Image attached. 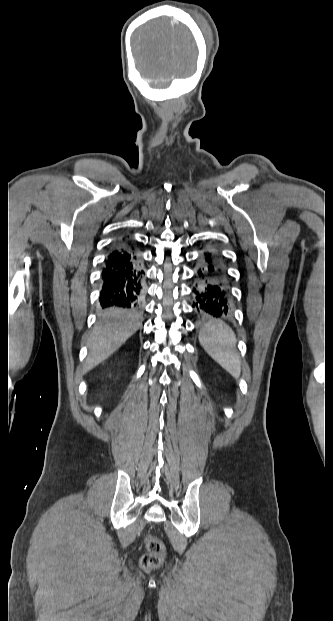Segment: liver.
<instances>
[{"label": "liver", "instance_id": "1", "mask_svg": "<svg viewBox=\"0 0 333 621\" xmlns=\"http://www.w3.org/2000/svg\"><path fill=\"white\" fill-rule=\"evenodd\" d=\"M141 326L138 316L130 311L110 308L102 312L98 325L88 341L89 355L84 372L106 360Z\"/></svg>", "mask_w": 333, "mask_h": 621}]
</instances>
